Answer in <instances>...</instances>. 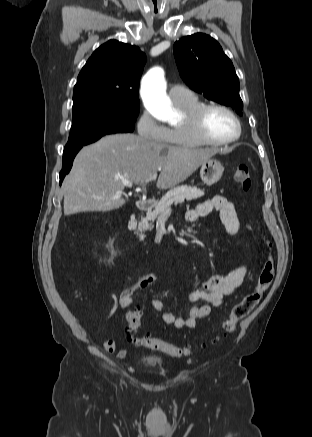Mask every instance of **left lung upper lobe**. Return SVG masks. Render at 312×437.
<instances>
[{"instance_id": "5c2ea615", "label": "left lung upper lobe", "mask_w": 312, "mask_h": 437, "mask_svg": "<svg viewBox=\"0 0 312 437\" xmlns=\"http://www.w3.org/2000/svg\"><path fill=\"white\" fill-rule=\"evenodd\" d=\"M173 51L180 75L191 89L242 114L239 79L215 39L196 33L177 41Z\"/></svg>"}]
</instances>
